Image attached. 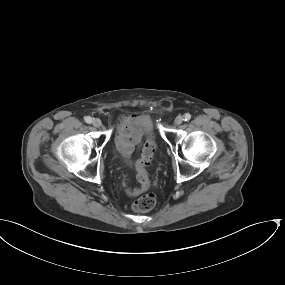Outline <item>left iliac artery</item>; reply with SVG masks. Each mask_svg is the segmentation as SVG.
I'll list each match as a JSON object with an SVG mask.
<instances>
[{"instance_id":"obj_1","label":"left iliac artery","mask_w":285,"mask_h":285,"mask_svg":"<svg viewBox=\"0 0 285 285\" xmlns=\"http://www.w3.org/2000/svg\"><path fill=\"white\" fill-rule=\"evenodd\" d=\"M191 119V115L189 113H186L184 116H183V120L184 121H189Z\"/></svg>"}]
</instances>
